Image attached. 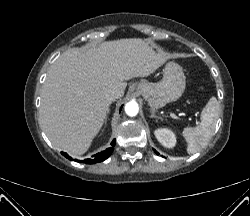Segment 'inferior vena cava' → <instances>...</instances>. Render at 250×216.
Masks as SVG:
<instances>
[{"label": "inferior vena cava", "mask_w": 250, "mask_h": 216, "mask_svg": "<svg viewBox=\"0 0 250 216\" xmlns=\"http://www.w3.org/2000/svg\"><path fill=\"white\" fill-rule=\"evenodd\" d=\"M121 97V92L118 89H109L106 92V98L110 101H115Z\"/></svg>", "instance_id": "obj_1"}]
</instances>
